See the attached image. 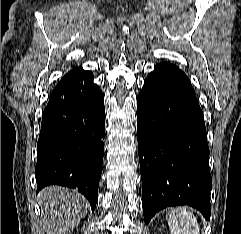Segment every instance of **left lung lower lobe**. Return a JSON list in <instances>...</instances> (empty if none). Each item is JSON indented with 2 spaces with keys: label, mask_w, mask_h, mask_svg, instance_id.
Listing matches in <instances>:
<instances>
[{
  "label": "left lung lower lobe",
  "mask_w": 241,
  "mask_h": 234,
  "mask_svg": "<svg viewBox=\"0 0 241 234\" xmlns=\"http://www.w3.org/2000/svg\"><path fill=\"white\" fill-rule=\"evenodd\" d=\"M138 154L145 223L168 206L190 205L210 219L209 148L202 110L188 77L155 66L137 98Z\"/></svg>",
  "instance_id": "1"
}]
</instances>
